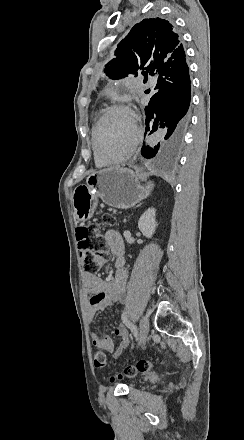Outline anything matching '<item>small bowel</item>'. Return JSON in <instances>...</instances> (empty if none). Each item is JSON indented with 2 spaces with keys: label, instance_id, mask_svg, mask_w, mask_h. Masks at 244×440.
Listing matches in <instances>:
<instances>
[{
  "label": "small bowel",
  "instance_id": "c3829d8e",
  "mask_svg": "<svg viewBox=\"0 0 244 440\" xmlns=\"http://www.w3.org/2000/svg\"><path fill=\"white\" fill-rule=\"evenodd\" d=\"M105 239L110 253L114 256L116 272L111 280H105L90 273L83 275V283L89 294L86 314L90 321L93 320L97 312L120 306L124 302L127 290L128 274L125 267L123 240L115 230L107 231ZM103 263L104 260L100 264ZM115 334L120 338L118 343L108 335L98 333L94 329L89 331V337L95 347L112 353L116 358H119L130 345V335L123 325H119L115 329Z\"/></svg>",
  "mask_w": 244,
  "mask_h": 440
}]
</instances>
